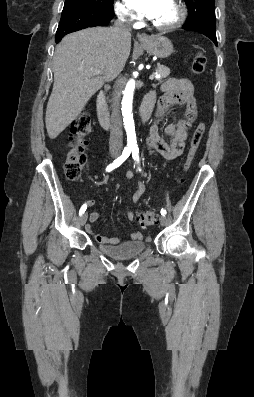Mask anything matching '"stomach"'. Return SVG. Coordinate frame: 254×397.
Here are the masks:
<instances>
[{"label": "stomach", "instance_id": "stomach-1", "mask_svg": "<svg viewBox=\"0 0 254 397\" xmlns=\"http://www.w3.org/2000/svg\"><path fill=\"white\" fill-rule=\"evenodd\" d=\"M141 46L151 55L158 58H167L173 53L171 41L164 36H151L149 41L142 43Z\"/></svg>", "mask_w": 254, "mask_h": 397}]
</instances>
